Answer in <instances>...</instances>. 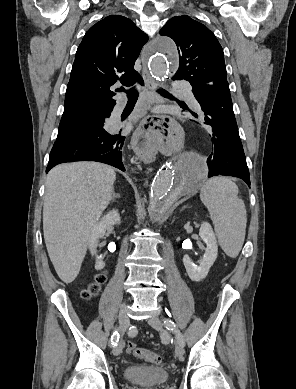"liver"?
I'll return each instance as SVG.
<instances>
[{
  "mask_svg": "<svg viewBox=\"0 0 296 389\" xmlns=\"http://www.w3.org/2000/svg\"><path fill=\"white\" fill-rule=\"evenodd\" d=\"M116 173L97 162L57 165L47 175L43 232L59 278L69 284L79 274L89 238L114 193Z\"/></svg>",
  "mask_w": 296,
  "mask_h": 389,
  "instance_id": "1",
  "label": "liver"
}]
</instances>
